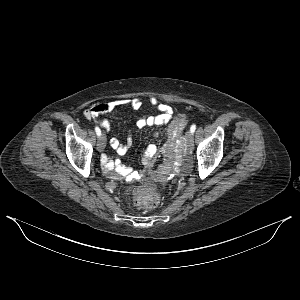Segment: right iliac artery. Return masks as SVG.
<instances>
[{"mask_svg": "<svg viewBox=\"0 0 300 300\" xmlns=\"http://www.w3.org/2000/svg\"><path fill=\"white\" fill-rule=\"evenodd\" d=\"M95 132H96L97 136L101 135V130L99 127H95Z\"/></svg>", "mask_w": 300, "mask_h": 300, "instance_id": "1", "label": "right iliac artery"}]
</instances>
